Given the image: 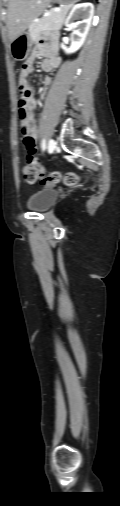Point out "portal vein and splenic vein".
<instances>
[{"mask_svg":"<svg viewBox=\"0 0 120 506\" xmlns=\"http://www.w3.org/2000/svg\"><path fill=\"white\" fill-rule=\"evenodd\" d=\"M59 10H60V8H55V11H59Z\"/></svg>","mask_w":120,"mask_h":506,"instance_id":"18ae733b","label":"portal vein and splenic vein"}]
</instances>
